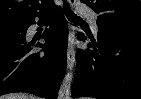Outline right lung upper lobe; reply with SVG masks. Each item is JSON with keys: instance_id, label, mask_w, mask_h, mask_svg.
Listing matches in <instances>:
<instances>
[{"instance_id": "obj_1", "label": "right lung upper lobe", "mask_w": 141, "mask_h": 99, "mask_svg": "<svg viewBox=\"0 0 141 99\" xmlns=\"http://www.w3.org/2000/svg\"><path fill=\"white\" fill-rule=\"evenodd\" d=\"M51 0H0V22L42 16L54 7Z\"/></svg>"}]
</instances>
